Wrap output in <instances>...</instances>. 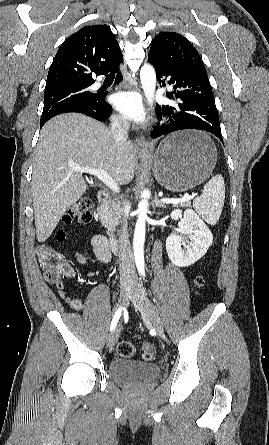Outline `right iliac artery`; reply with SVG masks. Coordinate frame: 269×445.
<instances>
[{
  "label": "right iliac artery",
  "instance_id": "82829eb1",
  "mask_svg": "<svg viewBox=\"0 0 269 445\" xmlns=\"http://www.w3.org/2000/svg\"><path fill=\"white\" fill-rule=\"evenodd\" d=\"M122 309H123V308L120 307V308L116 311V313L114 314L113 319H112V322H111V327H110L111 331H113V330L115 329V327H116V325H117V323H118V321H119V318H120V316H121Z\"/></svg>",
  "mask_w": 269,
  "mask_h": 445
}]
</instances>
